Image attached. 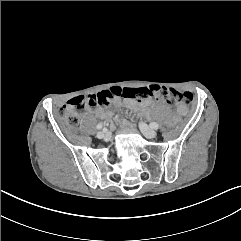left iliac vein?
<instances>
[{"mask_svg":"<svg viewBox=\"0 0 241 241\" xmlns=\"http://www.w3.org/2000/svg\"><path fill=\"white\" fill-rule=\"evenodd\" d=\"M140 130L143 133V135L148 138V139H152L156 137V131L153 130L152 128H150L147 124L141 122L139 124Z\"/></svg>","mask_w":241,"mask_h":241,"instance_id":"1","label":"left iliac vein"}]
</instances>
